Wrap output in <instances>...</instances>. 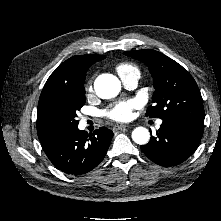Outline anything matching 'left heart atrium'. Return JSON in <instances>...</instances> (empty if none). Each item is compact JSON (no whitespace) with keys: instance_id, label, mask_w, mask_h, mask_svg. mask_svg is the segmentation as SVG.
<instances>
[{"instance_id":"left-heart-atrium-1","label":"left heart atrium","mask_w":221,"mask_h":221,"mask_svg":"<svg viewBox=\"0 0 221 221\" xmlns=\"http://www.w3.org/2000/svg\"><path fill=\"white\" fill-rule=\"evenodd\" d=\"M139 106V103L135 99L124 100L116 103L109 108L105 115L114 121L124 122L128 121L133 116V110Z\"/></svg>"}]
</instances>
